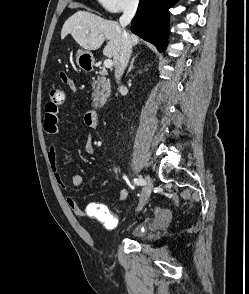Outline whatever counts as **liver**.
I'll return each instance as SVG.
<instances>
[{"mask_svg":"<svg viewBox=\"0 0 249 294\" xmlns=\"http://www.w3.org/2000/svg\"><path fill=\"white\" fill-rule=\"evenodd\" d=\"M71 34L74 40L86 50H97L107 39L108 44L103 49V54L112 57L114 64L119 54L123 30L120 25L111 20L103 19L88 11H78L64 23L61 38ZM132 43L137 45L139 38L130 36Z\"/></svg>","mask_w":249,"mask_h":294,"instance_id":"1","label":"liver"}]
</instances>
